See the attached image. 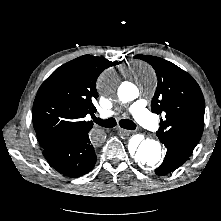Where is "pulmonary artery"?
Listing matches in <instances>:
<instances>
[{
    "label": "pulmonary artery",
    "instance_id": "obj_1",
    "mask_svg": "<svg viewBox=\"0 0 221 221\" xmlns=\"http://www.w3.org/2000/svg\"><path fill=\"white\" fill-rule=\"evenodd\" d=\"M130 111L136 117V119L144 127L151 131H158L160 128L159 121L147 111L146 103L143 100H138L130 106ZM113 111H102L100 116L102 118H109L113 115Z\"/></svg>",
    "mask_w": 221,
    "mask_h": 221
}]
</instances>
